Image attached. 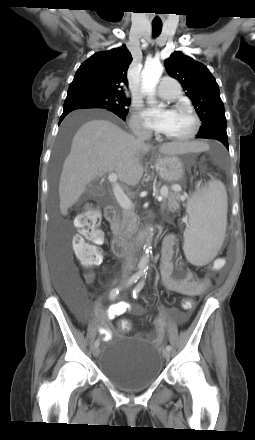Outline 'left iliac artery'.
<instances>
[{
	"mask_svg": "<svg viewBox=\"0 0 255 440\" xmlns=\"http://www.w3.org/2000/svg\"><path fill=\"white\" fill-rule=\"evenodd\" d=\"M143 286H144V280H142L141 282H139L138 284H137V286L134 288V290H133V293H132V296H133V298H137L138 297V294H139V292L141 291V289L143 288ZM166 349L167 350H171V346L170 345H167L166 346Z\"/></svg>",
	"mask_w": 255,
	"mask_h": 440,
	"instance_id": "1",
	"label": "left iliac artery"
}]
</instances>
